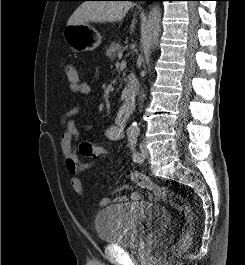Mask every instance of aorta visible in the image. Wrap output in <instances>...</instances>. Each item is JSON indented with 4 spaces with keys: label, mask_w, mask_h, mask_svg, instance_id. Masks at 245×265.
Listing matches in <instances>:
<instances>
[{
    "label": "aorta",
    "mask_w": 245,
    "mask_h": 265,
    "mask_svg": "<svg viewBox=\"0 0 245 265\" xmlns=\"http://www.w3.org/2000/svg\"><path fill=\"white\" fill-rule=\"evenodd\" d=\"M160 22L161 9L158 5H154L149 12L148 22L146 26L147 41L150 43L152 48H155L158 45L161 32ZM131 129L137 131L138 125L136 123H133Z\"/></svg>",
    "instance_id": "aorta-1"
}]
</instances>
